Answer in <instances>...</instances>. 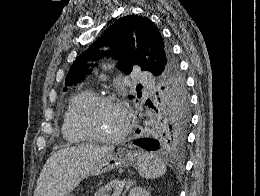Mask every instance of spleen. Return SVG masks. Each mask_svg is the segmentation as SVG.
Masks as SVG:
<instances>
[{
  "label": "spleen",
  "mask_w": 260,
  "mask_h": 196,
  "mask_svg": "<svg viewBox=\"0 0 260 196\" xmlns=\"http://www.w3.org/2000/svg\"><path fill=\"white\" fill-rule=\"evenodd\" d=\"M137 166L140 176L146 180H155L165 174L167 168L165 162L156 156V154H148L141 152L137 156Z\"/></svg>",
  "instance_id": "3e777b00"
}]
</instances>
